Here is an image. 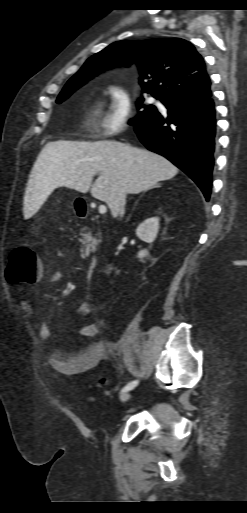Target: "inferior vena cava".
Masks as SVG:
<instances>
[{"mask_svg": "<svg viewBox=\"0 0 247 513\" xmlns=\"http://www.w3.org/2000/svg\"><path fill=\"white\" fill-rule=\"evenodd\" d=\"M126 203V193H122L116 202L118 214L122 216L124 214V206Z\"/></svg>", "mask_w": 247, "mask_h": 513, "instance_id": "obj_1", "label": "inferior vena cava"}]
</instances>
